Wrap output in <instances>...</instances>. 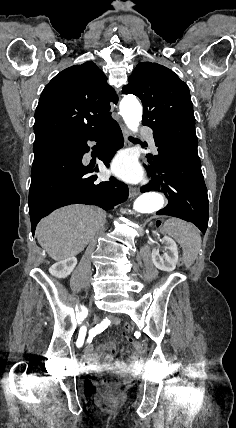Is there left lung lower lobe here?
<instances>
[{
	"mask_svg": "<svg viewBox=\"0 0 236 428\" xmlns=\"http://www.w3.org/2000/svg\"><path fill=\"white\" fill-rule=\"evenodd\" d=\"M158 155L148 167L151 182L141 192H163L168 205L157 215L181 218L206 232L209 219L207 188L198 154L186 150L170 139L154 134ZM156 170H155V169ZM158 173V175H156Z\"/></svg>",
	"mask_w": 236,
	"mask_h": 428,
	"instance_id": "0a47b994",
	"label": "left lung lower lobe"
}]
</instances>
